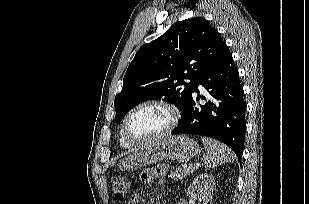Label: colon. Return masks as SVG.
<instances>
[{"mask_svg":"<svg viewBox=\"0 0 309 204\" xmlns=\"http://www.w3.org/2000/svg\"><path fill=\"white\" fill-rule=\"evenodd\" d=\"M111 188L115 199L121 201L127 195L129 189V181L126 177L117 176L113 178Z\"/></svg>","mask_w":309,"mask_h":204,"instance_id":"5ec220e1","label":"colon"}]
</instances>
